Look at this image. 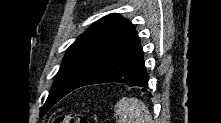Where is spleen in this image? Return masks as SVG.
<instances>
[{
  "mask_svg": "<svg viewBox=\"0 0 221 123\" xmlns=\"http://www.w3.org/2000/svg\"><path fill=\"white\" fill-rule=\"evenodd\" d=\"M118 123H152L147 106L137 98H122L115 105Z\"/></svg>",
  "mask_w": 221,
  "mask_h": 123,
  "instance_id": "3e777b00",
  "label": "spleen"
}]
</instances>
